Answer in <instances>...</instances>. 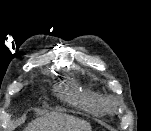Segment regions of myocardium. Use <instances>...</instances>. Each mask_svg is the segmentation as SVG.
I'll use <instances>...</instances> for the list:
<instances>
[{"mask_svg":"<svg viewBox=\"0 0 151 131\" xmlns=\"http://www.w3.org/2000/svg\"><path fill=\"white\" fill-rule=\"evenodd\" d=\"M110 107H111V108L114 107V102H110Z\"/></svg>","mask_w":151,"mask_h":131,"instance_id":"myocardium-1","label":"myocardium"}]
</instances>
